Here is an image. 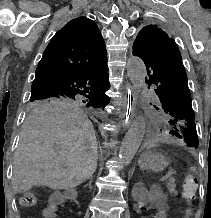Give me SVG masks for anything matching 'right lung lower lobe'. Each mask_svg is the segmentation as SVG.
<instances>
[{
    "mask_svg": "<svg viewBox=\"0 0 211 218\" xmlns=\"http://www.w3.org/2000/svg\"><path fill=\"white\" fill-rule=\"evenodd\" d=\"M109 86L106 59L79 74L61 78L38 89L31 94L30 99L56 96L74 98L79 94L87 98H108L105 91Z\"/></svg>",
    "mask_w": 211,
    "mask_h": 218,
    "instance_id": "98d812e1",
    "label": "right lung lower lobe"
}]
</instances>
